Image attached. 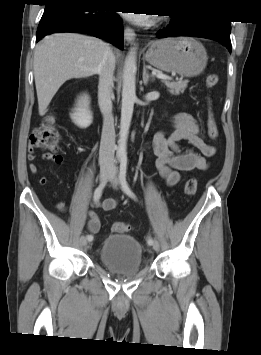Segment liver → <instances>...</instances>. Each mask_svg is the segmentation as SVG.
<instances>
[{
  "label": "liver",
  "mask_w": 261,
  "mask_h": 355,
  "mask_svg": "<svg viewBox=\"0 0 261 355\" xmlns=\"http://www.w3.org/2000/svg\"><path fill=\"white\" fill-rule=\"evenodd\" d=\"M109 45L100 39L75 33L45 37L34 53V77L39 115L44 116L58 89L73 78L98 73Z\"/></svg>",
  "instance_id": "6515ba94"
}]
</instances>
